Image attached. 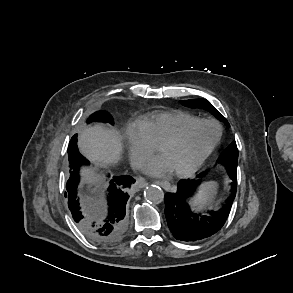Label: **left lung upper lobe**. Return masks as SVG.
<instances>
[{"instance_id": "1", "label": "left lung upper lobe", "mask_w": 293, "mask_h": 293, "mask_svg": "<svg viewBox=\"0 0 293 293\" xmlns=\"http://www.w3.org/2000/svg\"><path fill=\"white\" fill-rule=\"evenodd\" d=\"M184 106L190 108H203L210 111L214 116L224 122L227 126H230L226 118L207 100L205 99H192L184 100L181 102ZM219 161L224 163L226 167L237 166L238 161V149L236 142L233 141L220 155Z\"/></svg>"}]
</instances>
